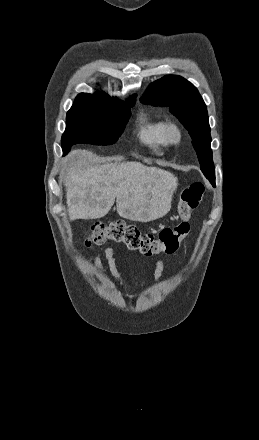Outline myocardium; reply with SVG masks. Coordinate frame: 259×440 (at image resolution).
Masks as SVG:
<instances>
[{"label":"myocardium","instance_id":"myocardium-1","mask_svg":"<svg viewBox=\"0 0 259 440\" xmlns=\"http://www.w3.org/2000/svg\"><path fill=\"white\" fill-rule=\"evenodd\" d=\"M165 138L168 144H178L183 139V130L176 122L169 121L165 126Z\"/></svg>","mask_w":259,"mask_h":440}]
</instances>
